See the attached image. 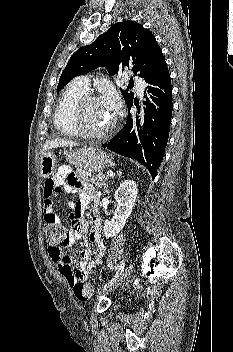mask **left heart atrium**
I'll use <instances>...</instances> for the list:
<instances>
[{"label": "left heart atrium", "mask_w": 233, "mask_h": 352, "mask_svg": "<svg viewBox=\"0 0 233 352\" xmlns=\"http://www.w3.org/2000/svg\"><path fill=\"white\" fill-rule=\"evenodd\" d=\"M102 102L113 115L116 114L120 107L119 99L114 93H108Z\"/></svg>", "instance_id": "obj_1"}]
</instances>
